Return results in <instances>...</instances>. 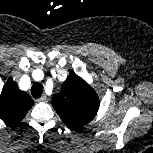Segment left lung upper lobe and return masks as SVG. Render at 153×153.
Masks as SVG:
<instances>
[{"label": "left lung upper lobe", "mask_w": 153, "mask_h": 153, "mask_svg": "<svg viewBox=\"0 0 153 153\" xmlns=\"http://www.w3.org/2000/svg\"><path fill=\"white\" fill-rule=\"evenodd\" d=\"M52 104L61 120L71 129H78L92 121L100 105L94 89L75 73L65 80Z\"/></svg>", "instance_id": "obj_1"}]
</instances>
